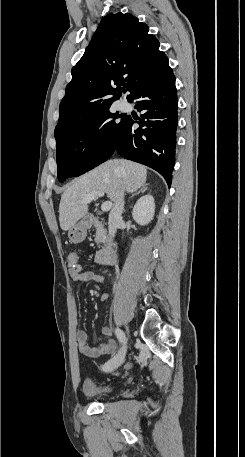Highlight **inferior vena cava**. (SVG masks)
Returning <instances> with one entry per match:
<instances>
[{
  "instance_id": "inferior-vena-cava-1",
  "label": "inferior vena cava",
  "mask_w": 245,
  "mask_h": 457,
  "mask_svg": "<svg viewBox=\"0 0 245 457\" xmlns=\"http://www.w3.org/2000/svg\"><path fill=\"white\" fill-rule=\"evenodd\" d=\"M124 194L121 192L118 200H115L113 204L112 210H110L109 218H108V224H109V235H112L114 237L119 224L123 222L122 220V212L124 208Z\"/></svg>"
}]
</instances>
